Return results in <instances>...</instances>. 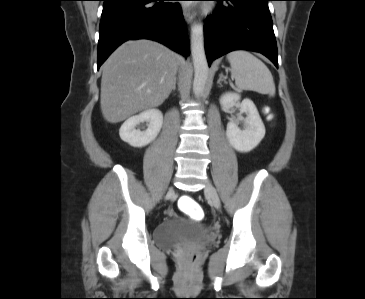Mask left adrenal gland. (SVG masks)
<instances>
[{
	"label": "left adrenal gland",
	"mask_w": 365,
	"mask_h": 299,
	"mask_svg": "<svg viewBox=\"0 0 365 299\" xmlns=\"http://www.w3.org/2000/svg\"><path fill=\"white\" fill-rule=\"evenodd\" d=\"M221 82H224L225 84L227 83V82H226V78L223 76V73H221V74L219 75V79H218V81H217V84L221 85Z\"/></svg>",
	"instance_id": "a2214340"
}]
</instances>
